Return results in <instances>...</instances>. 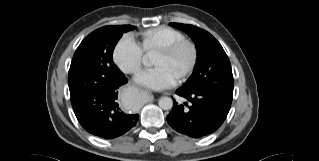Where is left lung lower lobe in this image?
<instances>
[{"instance_id": "left-lung-lower-lobe-1", "label": "left lung lower lobe", "mask_w": 319, "mask_h": 161, "mask_svg": "<svg viewBox=\"0 0 319 161\" xmlns=\"http://www.w3.org/2000/svg\"><path fill=\"white\" fill-rule=\"evenodd\" d=\"M176 94L187 100L188 104L184 103L187 108L174 101L167 122L175 131L194 138L216 131L231 107L230 101L198 89L179 88Z\"/></svg>"}]
</instances>
